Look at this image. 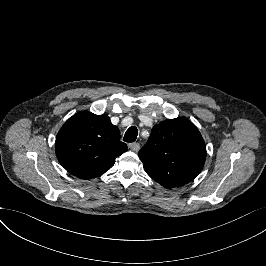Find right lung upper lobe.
Wrapping results in <instances>:
<instances>
[{
	"instance_id": "1",
	"label": "right lung upper lobe",
	"mask_w": 266,
	"mask_h": 266,
	"mask_svg": "<svg viewBox=\"0 0 266 266\" xmlns=\"http://www.w3.org/2000/svg\"><path fill=\"white\" fill-rule=\"evenodd\" d=\"M128 147L107 114L82 111L69 118L57 134L56 156L61 165L81 179L99 177Z\"/></svg>"
}]
</instances>
